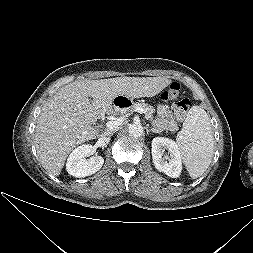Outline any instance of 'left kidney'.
I'll list each match as a JSON object with an SVG mask.
<instances>
[{
  "label": "left kidney",
  "mask_w": 253,
  "mask_h": 253,
  "mask_svg": "<svg viewBox=\"0 0 253 253\" xmlns=\"http://www.w3.org/2000/svg\"><path fill=\"white\" fill-rule=\"evenodd\" d=\"M165 149L169 152L168 158L163 157ZM152 159L158 171L173 178L180 176L182 171L181 152L175 141L165 137L154 138L152 140Z\"/></svg>",
  "instance_id": "1"
}]
</instances>
